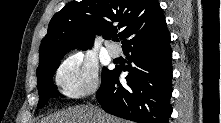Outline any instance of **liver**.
<instances>
[{
  "mask_svg": "<svg viewBox=\"0 0 221 123\" xmlns=\"http://www.w3.org/2000/svg\"><path fill=\"white\" fill-rule=\"evenodd\" d=\"M43 123H124L99 109L95 113L91 106L68 108L44 119Z\"/></svg>",
  "mask_w": 221,
  "mask_h": 123,
  "instance_id": "1",
  "label": "liver"
}]
</instances>
